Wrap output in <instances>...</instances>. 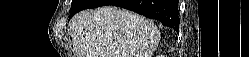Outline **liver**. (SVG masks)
<instances>
[{
  "instance_id": "liver-1",
  "label": "liver",
  "mask_w": 249,
  "mask_h": 57,
  "mask_svg": "<svg viewBox=\"0 0 249 57\" xmlns=\"http://www.w3.org/2000/svg\"><path fill=\"white\" fill-rule=\"evenodd\" d=\"M72 29L77 57H151L160 40L152 21L114 6L79 12Z\"/></svg>"
}]
</instances>
